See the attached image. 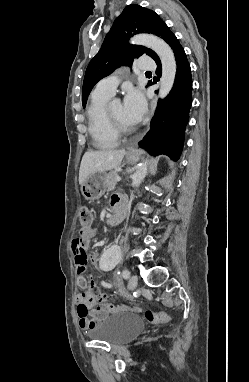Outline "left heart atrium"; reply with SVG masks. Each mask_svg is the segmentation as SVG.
Returning <instances> with one entry per match:
<instances>
[{
  "label": "left heart atrium",
  "mask_w": 249,
  "mask_h": 382,
  "mask_svg": "<svg viewBox=\"0 0 249 382\" xmlns=\"http://www.w3.org/2000/svg\"><path fill=\"white\" fill-rule=\"evenodd\" d=\"M125 118L132 124L139 123L145 114L146 101L140 89L129 88L123 101Z\"/></svg>",
  "instance_id": "39dd6f15"
}]
</instances>
